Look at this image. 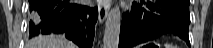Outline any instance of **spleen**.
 I'll return each instance as SVG.
<instances>
[{"label":"spleen","instance_id":"3e777b00","mask_svg":"<svg viewBox=\"0 0 213 48\" xmlns=\"http://www.w3.org/2000/svg\"><path fill=\"white\" fill-rule=\"evenodd\" d=\"M164 48H178V47L174 45L173 43H165Z\"/></svg>","mask_w":213,"mask_h":48}]
</instances>
